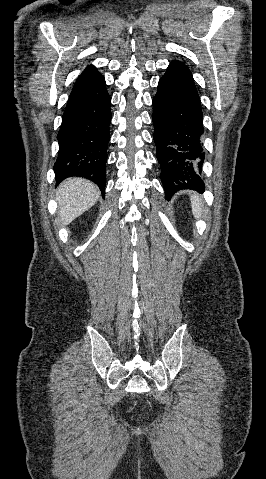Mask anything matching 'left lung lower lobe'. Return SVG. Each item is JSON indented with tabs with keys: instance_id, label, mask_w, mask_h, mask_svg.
I'll return each instance as SVG.
<instances>
[{
	"instance_id": "left-lung-lower-lobe-1",
	"label": "left lung lower lobe",
	"mask_w": 266,
	"mask_h": 479,
	"mask_svg": "<svg viewBox=\"0 0 266 479\" xmlns=\"http://www.w3.org/2000/svg\"><path fill=\"white\" fill-rule=\"evenodd\" d=\"M203 114L188 67L173 61L153 99L154 142L165 198L182 189L203 192Z\"/></svg>"
}]
</instances>
